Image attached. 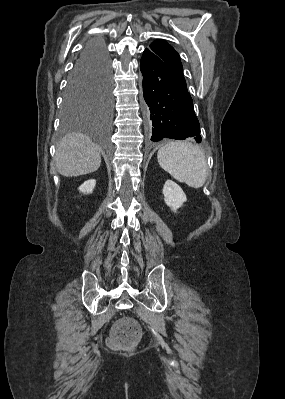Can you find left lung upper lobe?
I'll list each match as a JSON object with an SVG mask.
<instances>
[{"label":"left lung upper lobe","instance_id":"left-lung-upper-lobe-1","mask_svg":"<svg viewBox=\"0 0 285 399\" xmlns=\"http://www.w3.org/2000/svg\"><path fill=\"white\" fill-rule=\"evenodd\" d=\"M150 49L157 54L176 73L183 75V66L179 54L166 41L158 39L150 44Z\"/></svg>","mask_w":285,"mask_h":399}]
</instances>
